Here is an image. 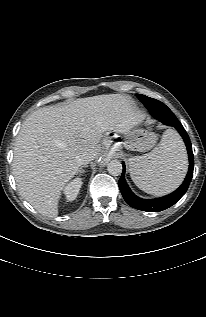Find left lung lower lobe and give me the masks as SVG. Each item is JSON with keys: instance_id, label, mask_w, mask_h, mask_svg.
Masks as SVG:
<instances>
[{"instance_id": "left-lung-lower-lobe-1", "label": "left lung lower lobe", "mask_w": 206, "mask_h": 317, "mask_svg": "<svg viewBox=\"0 0 206 317\" xmlns=\"http://www.w3.org/2000/svg\"><path fill=\"white\" fill-rule=\"evenodd\" d=\"M146 104H147V109L149 110L150 114L154 118L158 119L159 121H161L162 123L166 125L176 128V130L180 133L182 139L185 142L188 156H189V171L182 185L173 193L161 198L146 200V199L139 198L130 190L124 178L125 165L123 162L122 163L123 172L119 180V188L123 198L131 207L138 210L147 211V212H160L171 207L175 203H177L180 200V198L186 193L193 176L194 156H193L189 136L187 132L185 131V129L183 128L182 124L172 113V111L165 104H160V103H156V104L146 103Z\"/></svg>"}]
</instances>
